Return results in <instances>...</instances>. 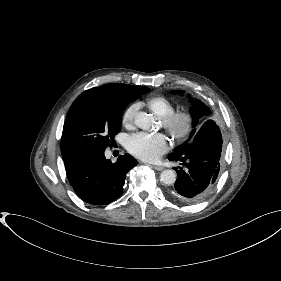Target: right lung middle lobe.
I'll use <instances>...</instances> for the list:
<instances>
[{
  "label": "right lung middle lobe",
  "instance_id": "1",
  "mask_svg": "<svg viewBox=\"0 0 281 281\" xmlns=\"http://www.w3.org/2000/svg\"><path fill=\"white\" fill-rule=\"evenodd\" d=\"M140 87L126 98L108 97L90 89L84 91L71 105L63 127L61 153L67 165L88 152L105 151L121 129V117L125 107L149 92Z\"/></svg>",
  "mask_w": 281,
  "mask_h": 281
}]
</instances>
